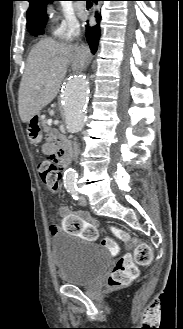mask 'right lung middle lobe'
<instances>
[{
  "label": "right lung middle lobe",
  "mask_w": 183,
  "mask_h": 329,
  "mask_svg": "<svg viewBox=\"0 0 183 329\" xmlns=\"http://www.w3.org/2000/svg\"><path fill=\"white\" fill-rule=\"evenodd\" d=\"M45 27V22H42V23H39L35 26L32 27V29L29 30V32L32 34V35H39V34H43L44 31H43V28Z\"/></svg>",
  "instance_id": "obj_1"
}]
</instances>
